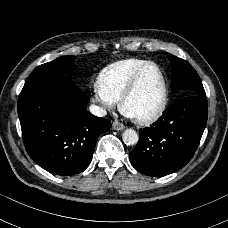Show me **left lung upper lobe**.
Wrapping results in <instances>:
<instances>
[{
  "instance_id": "left-lung-upper-lobe-1",
  "label": "left lung upper lobe",
  "mask_w": 228,
  "mask_h": 228,
  "mask_svg": "<svg viewBox=\"0 0 228 228\" xmlns=\"http://www.w3.org/2000/svg\"><path fill=\"white\" fill-rule=\"evenodd\" d=\"M172 63L171 90H186L189 96H205L202 82L194 68L185 60L167 53Z\"/></svg>"
}]
</instances>
